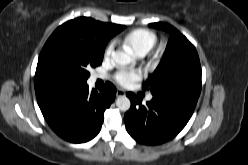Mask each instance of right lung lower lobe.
<instances>
[{"instance_id": "1", "label": "right lung lower lobe", "mask_w": 248, "mask_h": 165, "mask_svg": "<svg viewBox=\"0 0 248 165\" xmlns=\"http://www.w3.org/2000/svg\"><path fill=\"white\" fill-rule=\"evenodd\" d=\"M115 95V86L106 82L99 93L89 92L86 84L77 89L50 92L37 101L46 122L57 135L72 143H82L100 132L104 112Z\"/></svg>"}]
</instances>
